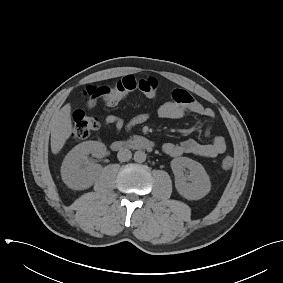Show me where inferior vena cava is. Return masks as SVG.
Wrapping results in <instances>:
<instances>
[{
  "mask_svg": "<svg viewBox=\"0 0 283 283\" xmlns=\"http://www.w3.org/2000/svg\"><path fill=\"white\" fill-rule=\"evenodd\" d=\"M132 157V153L129 149H120L119 152L117 153V158L121 162H126L129 161Z\"/></svg>",
  "mask_w": 283,
  "mask_h": 283,
  "instance_id": "obj_1",
  "label": "inferior vena cava"
}]
</instances>
